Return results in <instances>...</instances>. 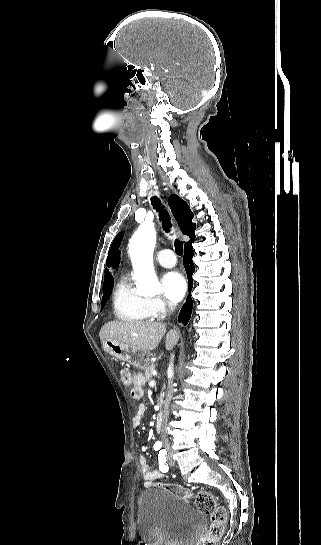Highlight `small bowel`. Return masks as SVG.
<instances>
[{"mask_svg": "<svg viewBox=\"0 0 321 545\" xmlns=\"http://www.w3.org/2000/svg\"><path fill=\"white\" fill-rule=\"evenodd\" d=\"M143 391L141 388L140 379H136L135 385L132 388L131 395L134 399H140L142 397ZM146 407L144 404H139L136 414L132 419V423L134 427H138L142 419L145 415ZM139 464L141 467V472L144 478V484L145 486H152L157 480L161 479L166 472H162L161 470H152L150 465L148 464L147 458L145 455L140 454L138 457Z\"/></svg>", "mask_w": 321, "mask_h": 545, "instance_id": "obj_1", "label": "small bowel"}]
</instances>
